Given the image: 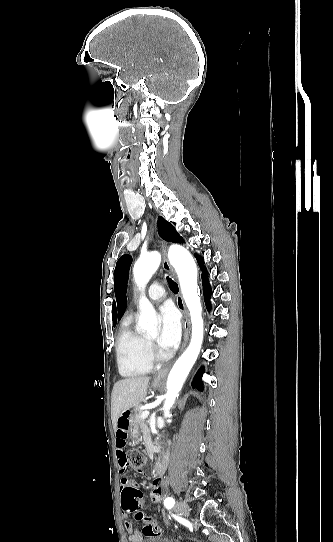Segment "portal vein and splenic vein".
<instances>
[{
	"mask_svg": "<svg viewBox=\"0 0 333 542\" xmlns=\"http://www.w3.org/2000/svg\"><path fill=\"white\" fill-rule=\"evenodd\" d=\"M150 412H148V410H145V412H142L141 414V418H143V420H146V418H148Z\"/></svg>",
	"mask_w": 333,
	"mask_h": 542,
	"instance_id": "1",
	"label": "portal vein and splenic vein"
}]
</instances>
